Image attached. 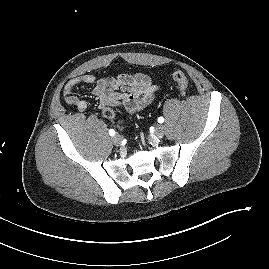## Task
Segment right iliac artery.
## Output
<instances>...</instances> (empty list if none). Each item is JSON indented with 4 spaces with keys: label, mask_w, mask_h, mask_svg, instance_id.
<instances>
[{
    "label": "right iliac artery",
    "mask_w": 269,
    "mask_h": 269,
    "mask_svg": "<svg viewBox=\"0 0 269 269\" xmlns=\"http://www.w3.org/2000/svg\"><path fill=\"white\" fill-rule=\"evenodd\" d=\"M109 134H110L111 136H114V135H115V131H114L113 129H110V130H109Z\"/></svg>",
    "instance_id": "82829eb1"
}]
</instances>
